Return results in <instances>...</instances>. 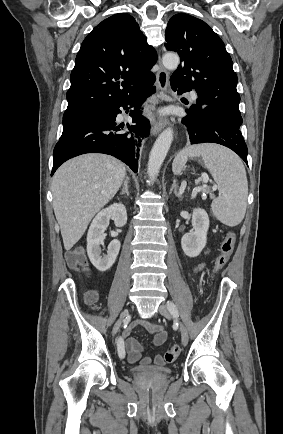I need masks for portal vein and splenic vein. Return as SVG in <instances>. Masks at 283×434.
<instances>
[{"instance_id":"obj_1","label":"portal vein and splenic vein","mask_w":283,"mask_h":434,"mask_svg":"<svg viewBox=\"0 0 283 434\" xmlns=\"http://www.w3.org/2000/svg\"><path fill=\"white\" fill-rule=\"evenodd\" d=\"M201 180H202L203 182L207 183V182L209 181V177H208V175H207V174H202V176H201ZM214 188L216 189L217 187L214 186Z\"/></svg>"}]
</instances>
